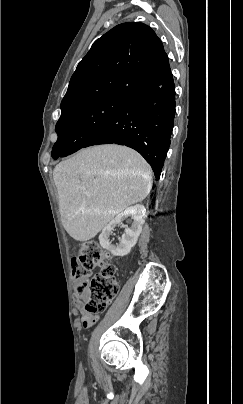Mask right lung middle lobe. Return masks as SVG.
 <instances>
[{
  "instance_id": "obj_1",
  "label": "right lung middle lobe",
  "mask_w": 243,
  "mask_h": 404,
  "mask_svg": "<svg viewBox=\"0 0 243 404\" xmlns=\"http://www.w3.org/2000/svg\"><path fill=\"white\" fill-rule=\"evenodd\" d=\"M125 101L122 98L94 100L61 114L55 127L58 140L51 153L53 159L68 156L84 148Z\"/></svg>"
}]
</instances>
